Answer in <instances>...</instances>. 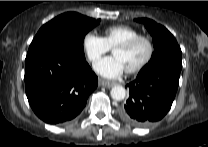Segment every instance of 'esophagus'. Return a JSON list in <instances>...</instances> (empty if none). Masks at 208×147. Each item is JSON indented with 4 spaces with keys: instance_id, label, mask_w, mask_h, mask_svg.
Segmentation results:
<instances>
[{
    "instance_id": "esophagus-1",
    "label": "esophagus",
    "mask_w": 208,
    "mask_h": 147,
    "mask_svg": "<svg viewBox=\"0 0 208 147\" xmlns=\"http://www.w3.org/2000/svg\"><path fill=\"white\" fill-rule=\"evenodd\" d=\"M99 83L101 86L106 87V88H111L115 85V82H110L107 80H100Z\"/></svg>"
}]
</instances>
